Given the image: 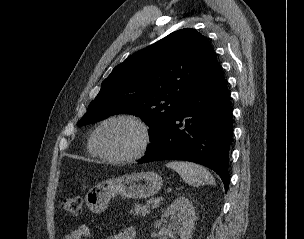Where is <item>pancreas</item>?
<instances>
[{"mask_svg":"<svg viewBox=\"0 0 304 239\" xmlns=\"http://www.w3.org/2000/svg\"><path fill=\"white\" fill-rule=\"evenodd\" d=\"M150 212L149 204L147 205H136L134 211L131 210L130 214H133L134 216H145Z\"/></svg>","mask_w":304,"mask_h":239,"instance_id":"obj_1","label":"pancreas"}]
</instances>
